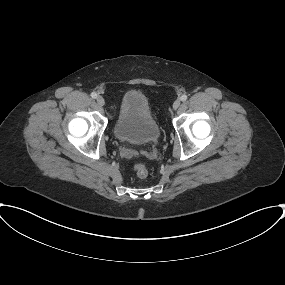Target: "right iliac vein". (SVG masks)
Returning a JSON list of instances; mask_svg holds the SVG:
<instances>
[{
    "label": "right iliac vein",
    "mask_w": 285,
    "mask_h": 285,
    "mask_svg": "<svg viewBox=\"0 0 285 285\" xmlns=\"http://www.w3.org/2000/svg\"><path fill=\"white\" fill-rule=\"evenodd\" d=\"M96 101H97V104H98L99 106H104V104H105V100H104V98L101 97V96H98L97 99H96Z\"/></svg>",
    "instance_id": "right-iliac-vein-1"
}]
</instances>
